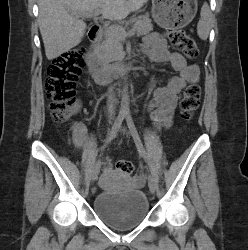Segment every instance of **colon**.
I'll list each match as a JSON object with an SVG mask.
<instances>
[{"instance_id":"1","label":"colon","mask_w":248,"mask_h":250,"mask_svg":"<svg viewBox=\"0 0 248 250\" xmlns=\"http://www.w3.org/2000/svg\"><path fill=\"white\" fill-rule=\"evenodd\" d=\"M168 40L178 47L188 58L196 59L199 54L196 40L189 33L174 28L166 30ZM84 46L74 47L57 57L47 70L46 89L50 100L52 118L57 123H64L76 112V81L85 65ZM201 88L197 81L190 82L184 89L180 100V115L189 121L199 106ZM116 167L124 174H132L133 164L119 160Z\"/></svg>"}]
</instances>
